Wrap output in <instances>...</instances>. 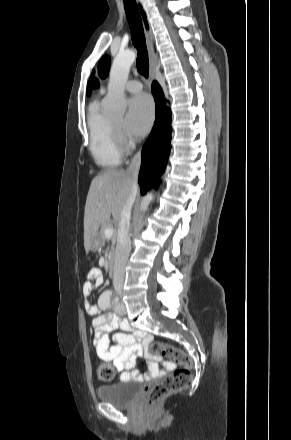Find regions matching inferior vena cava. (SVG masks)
I'll return each mask as SVG.
<instances>
[{"instance_id":"1","label":"inferior vena cava","mask_w":291,"mask_h":440,"mask_svg":"<svg viewBox=\"0 0 291 440\" xmlns=\"http://www.w3.org/2000/svg\"><path fill=\"white\" fill-rule=\"evenodd\" d=\"M141 164V154L137 153L131 161L126 172L131 176V193L126 206L121 214L118 227V239L115 253V266L113 276V286L118 295H121L125 278V266L131 250V239L129 235L131 209L138 191V174Z\"/></svg>"}]
</instances>
